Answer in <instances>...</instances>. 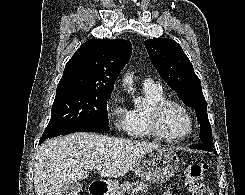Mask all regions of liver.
Masks as SVG:
<instances>
[{
	"instance_id": "liver-1",
	"label": "liver",
	"mask_w": 245,
	"mask_h": 195,
	"mask_svg": "<svg viewBox=\"0 0 245 195\" xmlns=\"http://www.w3.org/2000/svg\"><path fill=\"white\" fill-rule=\"evenodd\" d=\"M161 145L78 132L47 140L39 146L34 163L36 195H62L66 183L88 177L97 165L99 174L119 178L132 170L139 158Z\"/></svg>"
}]
</instances>
